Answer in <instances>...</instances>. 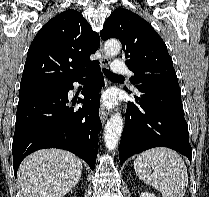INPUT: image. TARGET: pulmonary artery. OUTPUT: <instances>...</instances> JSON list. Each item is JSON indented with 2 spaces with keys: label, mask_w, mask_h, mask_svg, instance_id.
Wrapping results in <instances>:
<instances>
[{
  "label": "pulmonary artery",
  "mask_w": 209,
  "mask_h": 197,
  "mask_svg": "<svg viewBox=\"0 0 209 197\" xmlns=\"http://www.w3.org/2000/svg\"><path fill=\"white\" fill-rule=\"evenodd\" d=\"M113 72L121 75L131 76L133 72L125 65L124 61L120 58L116 59L113 64Z\"/></svg>",
  "instance_id": "e3ab8cb5"
}]
</instances>
